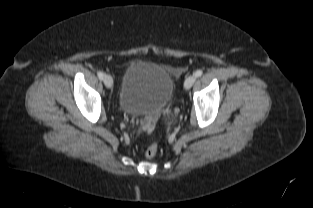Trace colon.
I'll return each mask as SVG.
<instances>
[{"instance_id": "1", "label": "colon", "mask_w": 313, "mask_h": 208, "mask_svg": "<svg viewBox=\"0 0 313 208\" xmlns=\"http://www.w3.org/2000/svg\"><path fill=\"white\" fill-rule=\"evenodd\" d=\"M158 152V144L156 142L150 144L144 151L147 158L154 157Z\"/></svg>"}]
</instances>
